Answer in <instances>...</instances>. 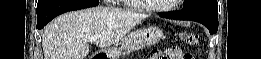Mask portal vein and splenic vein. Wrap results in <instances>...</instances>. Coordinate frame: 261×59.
<instances>
[{"instance_id": "portal-vein-and-splenic-vein-1", "label": "portal vein and splenic vein", "mask_w": 261, "mask_h": 59, "mask_svg": "<svg viewBox=\"0 0 261 59\" xmlns=\"http://www.w3.org/2000/svg\"><path fill=\"white\" fill-rule=\"evenodd\" d=\"M97 39H98L97 36H91V37L89 38V41H90V42H95Z\"/></svg>"}]
</instances>
